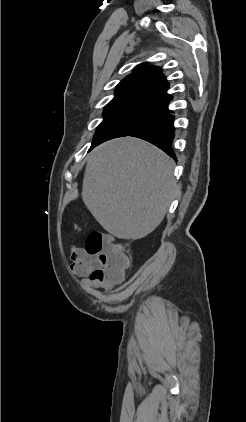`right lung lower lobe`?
<instances>
[{
	"label": "right lung lower lobe",
	"instance_id": "obj_1",
	"mask_svg": "<svg viewBox=\"0 0 246 422\" xmlns=\"http://www.w3.org/2000/svg\"><path fill=\"white\" fill-rule=\"evenodd\" d=\"M170 113H172V111L169 110L168 107L164 108L161 117L138 129L129 136L144 139L163 150L170 157L175 158V154L173 153L171 146L175 128L173 115Z\"/></svg>",
	"mask_w": 246,
	"mask_h": 422
}]
</instances>
